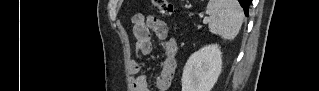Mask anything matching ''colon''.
Here are the masks:
<instances>
[{"mask_svg": "<svg viewBox=\"0 0 319 91\" xmlns=\"http://www.w3.org/2000/svg\"><path fill=\"white\" fill-rule=\"evenodd\" d=\"M153 3L164 16H171L174 12L172 3L167 0H153Z\"/></svg>", "mask_w": 319, "mask_h": 91, "instance_id": "colon-1", "label": "colon"}]
</instances>
